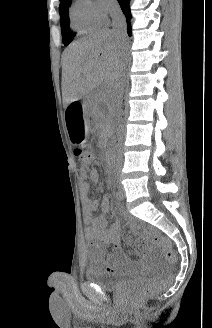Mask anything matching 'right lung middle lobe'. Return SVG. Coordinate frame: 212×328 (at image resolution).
<instances>
[{
  "mask_svg": "<svg viewBox=\"0 0 212 328\" xmlns=\"http://www.w3.org/2000/svg\"><path fill=\"white\" fill-rule=\"evenodd\" d=\"M70 3L71 0H60V5H59L60 23H61L62 39L64 45H68L75 37V34L71 32L69 26L68 7Z\"/></svg>",
  "mask_w": 212,
  "mask_h": 328,
  "instance_id": "right-lung-middle-lobe-1",
  "label": "right lung middle lobe"
}]
</instances>
